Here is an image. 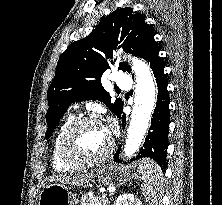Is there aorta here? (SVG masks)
<instances>
[{
    "label": "aorta",
    "instance_id": "762f6f07",
    "mask_svg": "<svg viewBox=\"0 0 222 205\" xmlns=\"http://www.w3.org/2000/svg\"><path fill=\"white\" fill-rule=\"evenodd\" d=\"M136 75L134 105L123 149V156L131 158L140 149L156 104V85L149 66L142 60L127 57Z\"/></svg>",
    "mask_w": 222,
    "mask_h": 205
}]
</instances>
